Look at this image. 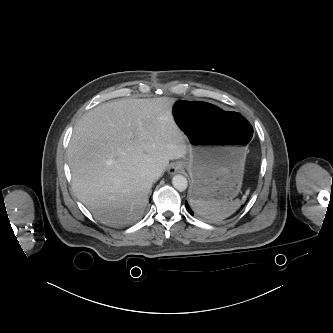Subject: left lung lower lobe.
<instances>
[{
  "mask_svg": "<svg viewBox=\"0 0 333 333\" xmlns=\"http://www.w3.org/2000/svg\"><path fill=\"white\" fill-rule=\"evenodd\" d=\"M186 208H187L188 212H189L191 215L194 214V213L192 212V210L190 209V207H189V205H188L187 202H186Z\"/></svg>",
  "mask_w": 333,
  "mask_h": 333,
  "instance_id": "obj_1",
  "label": "left lung lower lobe"
}]
</instances>
